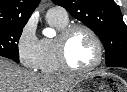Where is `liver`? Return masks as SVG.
<instances>
[{"label":"liver","mask_w":127,"mask_h":92,"mask_svg":"<svg viewBox=\"0 0 127 92\" xmlns=\"http://www.w3.org/2000/svg\"><path fill=\"white\" fill-rule=\"evenodd\" d=\"M81 78L37 74L0 57V92H70Z\"/></svg>","instance_id":"liver-1"}]
</instances>
